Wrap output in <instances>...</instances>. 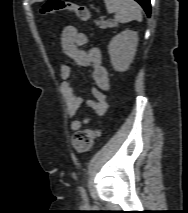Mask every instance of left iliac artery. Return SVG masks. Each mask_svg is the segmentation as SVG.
I'll return each instance as SVG.
<instances>
[{
	"label": "left iliac artery",
	"instance_id": "obj_1",
	"mask_svg": "<svg viewBox=\"0 0 188 213\" xmlns=\"http://www.w3.org/2000/svg\"><path fill=\"white\" fill-rule=\"evenodd\" d=\"M80 190H81L82 194H85V189H84V187H81Z\"/></svg>",
	"mask_w": 188,
	"mask_h": 213
}]
</instances>
